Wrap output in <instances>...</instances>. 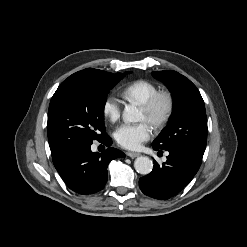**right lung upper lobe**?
<instances>
[{
    "label": "right lung upper lobe",
    "instance_id": "1",
    "mask_svg": "<svg viewBox=\"0 0 247 247\" xmlns=\"http://www.w3.org/2000/svg\"><path fill=\"white\" fill-rule=\"evenodd\" d=\"M78 73H89V74H95V75H107V74H112V73H108L102 70H97V69H92V68H88V69H84L82 71H79Z\"/></svg>",
    "mask_w": 247,
    "mask_h": 247
}]
</instances>
